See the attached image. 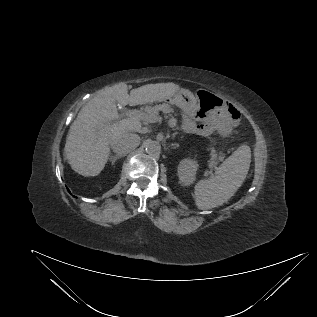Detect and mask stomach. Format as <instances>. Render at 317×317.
Wrapping results in <instances>:
<instances>
[{
  "label": "stomach",
  "instance_id": "obj_1",
  "mask_svg": "<svg viewBox=\"0 0 317 317\" xmlns=\"http://www.w3.org/2000/svg\"><path fill=\"white\" fill-rule=\"evenodd\" d=\"M164 101L175 104L184 112L197 116L198 119L200 116H205L214 120L220 133L225 134L230 130L225 100L211 91L198 89L193 94L187 89H181Z\"/></svg>",
  "mask_w": 317,
  "mask_h": 317
}]
</instances>
